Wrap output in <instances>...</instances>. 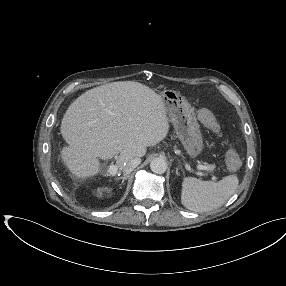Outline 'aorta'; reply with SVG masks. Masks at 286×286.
<instances>
[{
  "label": "aorta",
  "instance_id": "1",
  "mask_svg": "<svg viewBox=\"0 0 286 286\" xmlns=\"http://www.w3.org/2000/svg\"><path fill=\"white\" fill-rule=\"evenodd\" d=\"M150 169L156 174H163L167 170V162L165 159L160 157L154 158L150 162Z\"/></svg>",
  "mask_w": 286,
  "mask_h": 286
}]
</instances>
